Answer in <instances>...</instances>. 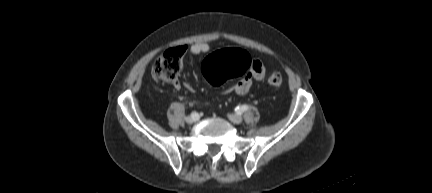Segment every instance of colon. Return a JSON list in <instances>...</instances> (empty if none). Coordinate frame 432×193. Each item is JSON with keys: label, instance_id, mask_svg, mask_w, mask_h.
<instances>
[{"label": "colon", "instance_id": "1", "mask_svg": "<svg viewBox=\"0 0 432 193\" xmlns=\"http://www.w3.org/2000/svg\"><path fill=\"white\" fill-rule=\"evenodd\" d=\"M183 50L173 48L156 58L152 66L153 74L167 83L176 82L182 70ZM252 67V58L247 52L238 48H229L214 52L203 63V74L208 84L217 86L226 80L245 75ZM267 82L272 87L283 83L280 72L268 75Z\"/></svg>", "mask_w": 432, "mask_h": 193}]
</instances>
